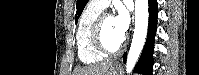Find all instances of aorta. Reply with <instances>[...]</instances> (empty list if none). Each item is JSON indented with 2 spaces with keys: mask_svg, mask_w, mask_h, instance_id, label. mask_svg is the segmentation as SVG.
Segmentation results:
<instances>
[{
  "mask_svg": "<svg viewBox=\"0 0 199 75\" xmlns=\"http://www.w3.org/2000/svg\"><path fill=\"white\" fill-rule=\"evenodd\" d=\"M148 29V0H135V29L126 62V71L130 73L142 51Z\"/></svg>",
  "mask_w": 199,
  "mask_h": 75,
  "instance_id": "obj_1",
  "label": "aorta"
}]
</instances>
